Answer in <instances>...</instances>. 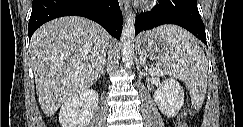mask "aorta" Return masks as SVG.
Wrapping results in <instances>:
<instances>
[{"label": "aorta", "instance_id": "762f6f07", "mask_svg": "<svg viewBox=\"0 0 243 127\" xmlns=\"http://www.w3.org/2000/svg\"><path fill=\"white\" fill-rule=\"evenodd\" d=\"M134 37H135V18L129 15L123 26L121 42H122V61L126 69H130L134 59Z\"/></svg>", "mask_w": 243, "mask_h": 127}]
</instances>
